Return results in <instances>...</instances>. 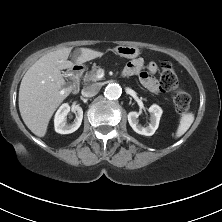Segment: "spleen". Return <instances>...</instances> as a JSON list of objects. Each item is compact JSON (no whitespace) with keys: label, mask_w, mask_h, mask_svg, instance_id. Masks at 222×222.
<instances>
[{"label":"spleen","mask_w":222,"mask_h":222,"mask_svg":"<svg viewBox=\"0 0 222 222\" xmlns=\"http://www.w3.org/2000/svg\"><path fill=\"white\" fill-rule=\"evenodd\" d=\"M194 121L193 113H183L180 117L179 126L177 128L175 137L179 138L186 133Z\"/></svg>","instance_id":"obj_1"}]
</instances>
